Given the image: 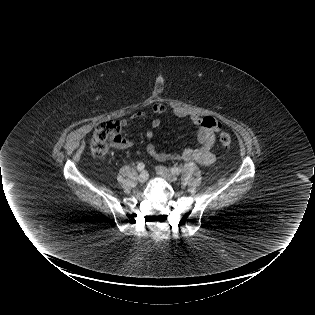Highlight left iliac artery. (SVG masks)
Masks as SVG:
<instances>
[{"instance_id":"1","label":"left iliac artery","mask_w":315,"mask_h":315,"mask_svg":"<svg viewBox=\"0 0 315 315\" xmlns=\"http://www.w3.org/2000/svg\"><path fill=\"white\" fill-rule=\"evenodd\" d=\"M193 165H194L193 163H189V164H186V165L184 166V168H171V172H172L173 174H177V175H178V174H180L182 171L192 168Z\"/></svg>"}]
</instances>
